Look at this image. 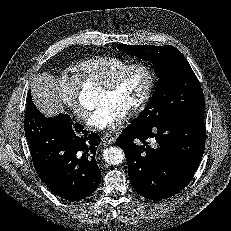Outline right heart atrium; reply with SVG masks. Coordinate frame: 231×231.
I'll use <instances>...</instances> for the list:
<instances>
[{
  "mask_svg": "<svg viewBox=\"0 0 231 231\" xmlns=\"http://www.w3.org/2000/svg\"><path fill=\"white\" fill-rule=\"evenodd\" d=\"M57 100L78 118H85L86 109L79 100L77 79L66 73L60 74L54 85Z\"/></svg>",
  "mask_w": 231,
  "mask_h": 231,
  "instance_id": "1",
  "label": "right heart atrium"
}]
</instances>
